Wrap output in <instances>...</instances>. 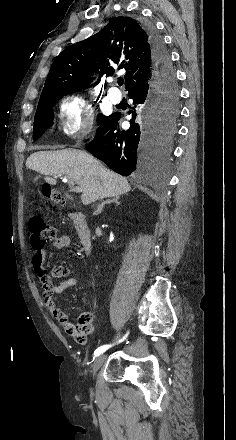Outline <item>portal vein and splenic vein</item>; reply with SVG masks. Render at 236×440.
I'll list each match as a JSON object with an SVG mask.
<instances>
[{"label":"portal vein and splenic vein","instance_id":"18ae733b","mask_svg":"<svg viewBox=\"0 0 236 440\" xmlns=\"http://www.w3.org/2000/svg\"><path fill=\"white\" fill-rule=\"evenodd\" d=\"M63 181L64 182H68L69 183V185L74 189V191H76V192H82V190L79 188V187H73L74 186V183H73V181L72 180H68L66 177L63 179Z\"/></svg>","mask_w":236,"mask_h":440}]
</instances>
